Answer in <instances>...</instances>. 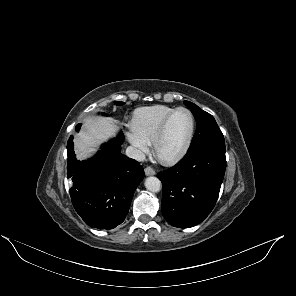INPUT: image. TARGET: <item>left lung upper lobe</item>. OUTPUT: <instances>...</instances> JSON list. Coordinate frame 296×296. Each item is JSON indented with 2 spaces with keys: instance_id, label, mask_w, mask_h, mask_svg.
<instances>
[{
  "instance_id": "obj_1",
  "label": "left lung upper lobe",
  "mask_w": 296,
  "mask_h": 296,
  "mask_svg": "<svg viewBox=\"0 0 296 296\" xmlns=\"http://www.w3.org/2000/svg\"><path fill=\"white\" fill-rule=\"evenodd\" d=\"M184 103L190 108L197 121V130L188 152L210 143L224 141V136L212 115L194 103L189 101H184Z\"/></svg>"
}]
</instances>
